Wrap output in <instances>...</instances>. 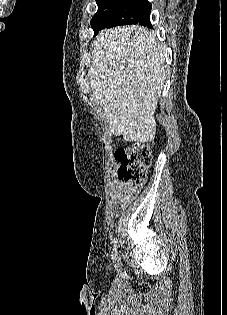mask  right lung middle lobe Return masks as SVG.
Returning a JSON list of instances; mask_svg holds the SVG:
<instances>
[{
    "mask_svg": "<svg viewBox=\"0 0 227 315\" xmlns=\"http://www.w3.org/2000/svg\"><path fill=\"white\" fill-rule=\"evenodd\" d=\"M98 11L91 19L94 36L106 27L139 24L151 27V3L148 0H99Z\"/></svg>",
    "mask_w": 227,
    "mask_h": 315,
    "instance_id": "obj_1",
    "label": "right lung middle lobe"
}]
</instances>
